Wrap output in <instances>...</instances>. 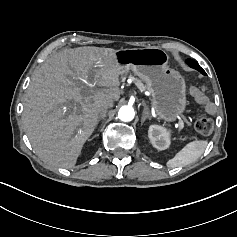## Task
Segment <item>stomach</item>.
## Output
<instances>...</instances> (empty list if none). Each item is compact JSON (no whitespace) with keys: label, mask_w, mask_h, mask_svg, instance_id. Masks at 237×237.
<instances>
[{"label":"stomach","mask_w":237,"mask_h":237,"mask_svg":"<svg viewBox=\"0 0 237 237\" xmlns=\"http://www.w3.org/2000/svg\"><path fill=\"white\" fill-rule=\"evenodd\" d=\"M119 74L132 70L150 92L154 115L166 122H176L186 111V82L175 69L168 67L167 53L157 47L119 50L115 54Z\"/></svg>","instance_id":"1"}]
</instances>
